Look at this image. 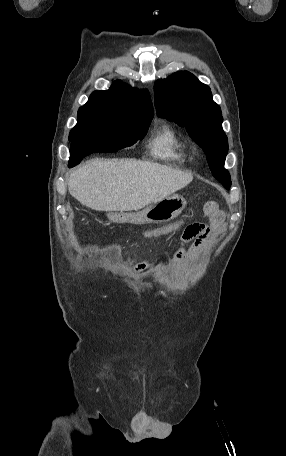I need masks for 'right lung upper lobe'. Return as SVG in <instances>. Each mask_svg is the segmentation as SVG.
<instances>
[{
    "instance_id": "cb5924a9",
    "label": "right lung upper lobe",
    "mask_w": 286,
    "mask_h": 456,
    "mask_svg": "<svg viewBox=\"0 0 286 456\" xmlns=\"http://www.w3.org/2000/svg\"><path fill=\"white\" fill-rule=\"evenodd\" d=\"M82 108L106 110L129 117L153 118V105L146 90L114 81L109 90L94 91Z\"/></svg>"
}]
</instances>
